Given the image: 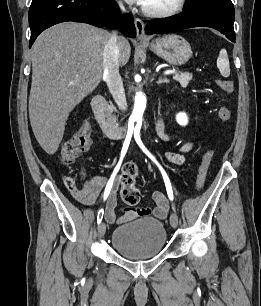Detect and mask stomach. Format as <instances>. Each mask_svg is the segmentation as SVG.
I'll return each mask as SVG.
<instances>
[{"label":"stomach","mask_w":261,"mask_h":306,"mask_svg":"<svg viewBox=\"0 0 261 306\" xmlns=\"http://www.w3.org/2000/svg\"><path fill=\"white\" fill-rule=\"evenodd\" d=\"M150 49L172 65H183L192 56L190 44L180 35H165L150 43Z\"/></svg>","instance_id":"0dacf381"}]
</instances>
